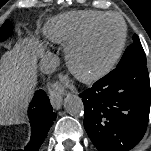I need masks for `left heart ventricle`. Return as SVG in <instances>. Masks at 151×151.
Listing matches in <instances>:
<instances>
[{"label":"left heart ventricle","instance_id":"1","mask_svg":"<svg viewBox=\"0 0 151 151\" xmlns=\"http://www.w3.org/2000/svg\"><path fill=\"white\" fill-rule=\"evenodd\" d=\"M121 25L116 19L102 22L79 54V62L85 69L104 65L115 53L120 38Z\"/></svg>","mask_w":151,"mask_h":151}]
</instances>
